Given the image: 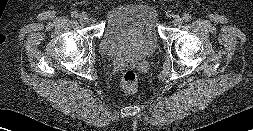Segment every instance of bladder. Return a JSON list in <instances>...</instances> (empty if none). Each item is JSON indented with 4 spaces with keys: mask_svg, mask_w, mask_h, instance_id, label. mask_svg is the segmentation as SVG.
I'll use <instances>...</instances> for the list:
<instances>
[{
    "mask_svg": "<svg viewBox=\"0 0 253 131\" xmlns=\"http://www.w3.org/2000/svg\"><path fill=\"white\" fill-rule=\"evenodd\" d=\"M159 22V11L151 2H118L105 20L99 50L106 55L122 48L142 55L150 54L161 43Z\"/></svg>",
    "mask_w": 253,
    "mask_h": 131,
    "instance_id": "obj_1",
    "label": "bladder"
}]
</instances>
